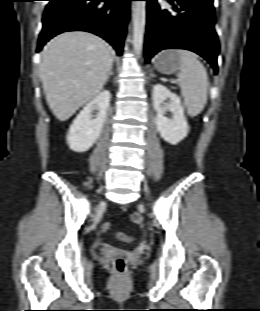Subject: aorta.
Returning a JSON list of instances; mask_svg holds the SVG:
<instances>
[{"label":"aorta","instance_id":"1","mask_svg":"<svg viewBox=\"0 0 260 311\" xmlns=\"http://www.w3.org/2000/svg\"><path fill=\"white\" fill-rule=\"evenodd\" d=\"M146 2L135 1L133 7V48L137 55H140L143 45V36L146 24Z\"/></svg>","mask_w":260,"mask_h":311}]
</instances>
